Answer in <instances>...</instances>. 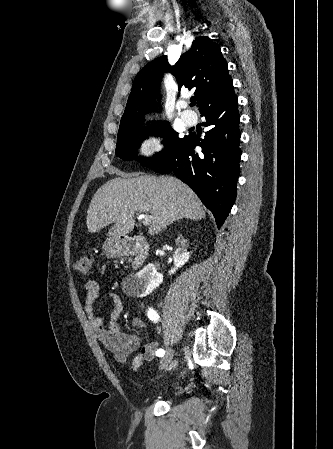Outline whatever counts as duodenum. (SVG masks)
Here are the masks:
<instances>
[{"label": "duodenum", "mask_w": 333, "mask_h": 449, "mask_svg": "<svg viewBox=\"0 0 333 449\" xmlns=\"http://www.w3.org/2000/svg\"><path fill=\"white\" fill-rule=\"evenodd\" d=\"M116 255L132 256V267L138 269L142 267L149 254V244L144 238L121 237L114 243Z\"/></svg>", "instance_id": "410a0bca"}]
</instances>
